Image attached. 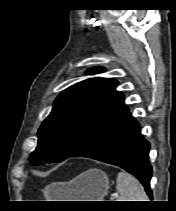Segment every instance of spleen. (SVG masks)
<instances>
[{"label":"spleen","mask_w":176,"mask_h":211,"mask_svg":"<svg viewBox=\"0 0 176 211\" xmlns=\"http://www.w3.org/2000/svg\"><path fill=\"white\" fill-rule=\"evenodd\" d=\"M116 189L120 193L118 201H149L140 182L127 172L118 173Z\"/></svg>","instance_id":"1"}]
</instances>
